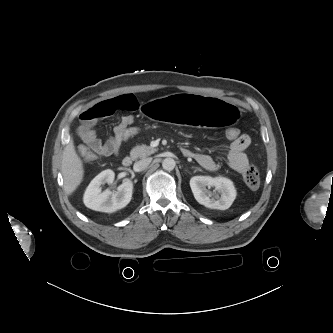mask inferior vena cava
<instances>
[{"label": "inferior vena cava", "instance_id": "obj_1", "mask_svg": "<svg viewBox=\"0 0 333 333\" xmlns=\"http://www.w3.org/2000/svg\"><path fill=\"white\" fill-rule=\"evenodd\" d=\"M151 160H152L151 158H146L135 162L134 170L137 172L144 170L151 163Z\"/></svg>", "mask_w": 333, "mask_h": 333}]
</instances>
